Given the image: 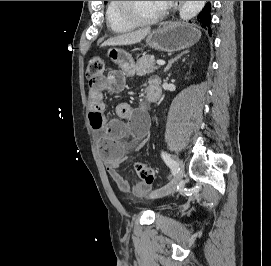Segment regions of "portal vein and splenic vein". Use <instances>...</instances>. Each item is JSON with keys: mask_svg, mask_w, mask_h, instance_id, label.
Listing matches in <instances>:
<instances>
[{"mask_svg": "<svg viewBox=\"0 0 271 266\" xmlns=\"http://www.w3.org/2000/svg\"><path fill=\"white\" fill-rule=\"evenodd\" d=\"M156 64H157L158 66H162V65H165V61H164V60H157V61H156Z\"/></svg>", "mask_w": 271, "mask_h": 266, "instance_id": "18ae733b", "label": "portal vein and splenic vein"}]
</instances>
